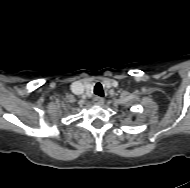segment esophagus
Masks as SVG:
<instances>
[{"instance_id": "1", "label": "esophagus", "mask_w": 190, "mask_h": 188, "mask_svg": "<svg viewBox=\"0 0 190 188\" xmlns=\"http://www.w3.org/2000/svg\"><path fill=\"white\" fill-rule=\"evenodd\" d=\"M94 104L102 106L105 102V99L102 97H95L93 100Z\"/></svg>"}]
</instances>
